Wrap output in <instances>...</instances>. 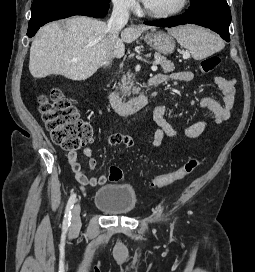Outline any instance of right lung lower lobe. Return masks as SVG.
Masks as SVG:
<instances>
[{
    "label": "right lung lower lobe",
    "instance_id": "right-lung-lower-lobe-1",
    "mask_svg": "<svg viewBox=\"0 0 255 272\" xmlns=\"http://www.w3.org/2000/svg\"><path fill=\"white\" fill-rule=\"evenodd\" d=\"M109 3L100 0H34L27 35L32 37L44 24L73 15L104 17Z\"/></svg>",
    "mask_w": 255,
    "mask_h": 272
}]
</instances>
